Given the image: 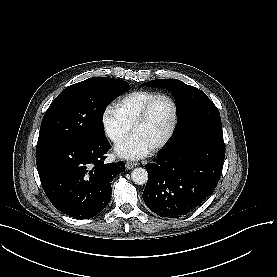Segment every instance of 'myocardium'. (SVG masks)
Listing matches in <instances>:
<instances>
[{"label": "myocardium", "mask_w": 277, "mask_h": 277, "mask_svg": "<svg viewBox=\"0 0 277 277\" xmlns=\"http://www.w3.org/2000/svg\"><path fill=\"white\" fill-rule=\"evenodd\" d=\"M158 100H164V101L168 102V104L171 107V117H170L168 127H167L163 137L160 140H158L157 142L151 144V149H157V148L162 147L164 144H166L168 142V140L171 138V136L174 132V129L176 126V121H177V107H176L175 103L173 102V100L170 97L163 95V94L155 96L142 110V112L140 113V115L138 116V118L136 119V121L132 127V133L137 134L140 126L143 124V122L147 116V113H148L150 107Z\"/></svg>", "instance_id": "myocardium-1"}]
</instances>
